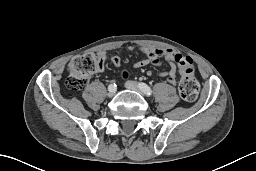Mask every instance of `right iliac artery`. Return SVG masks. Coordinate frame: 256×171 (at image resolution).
I'll return each mask as SVG.
<instances>
[{"label": "right iliac artery", "mask_w": 256, "mask_h": 171, "mask_svg": "<svg viewBox=\"0 0 256 171\" xmlns=\"http://www.w3.org/2000/svg\"><path fill=\"white\" fill-rule=\"evenodd\" d=\"M110 89L116 90V84H115V83H114V84H110V85L108 86V90H110Z\"/></svg>", "instance_id": "right-iliac-artery-1"}]
</instances>
